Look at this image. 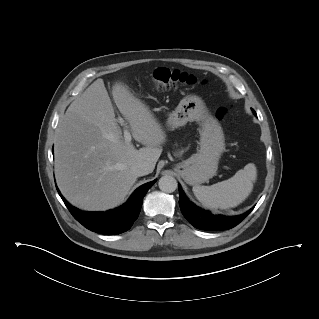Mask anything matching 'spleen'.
I'll use <instances>...</instances> for the list:
<instances>
[{"label": "spleen", "mask_w": 319, "mask_h": 319, "mask_svg": "<svg viewBox=\"0 0 319 319\" xmlns=\"http://www.w3.org/2000/svg\"><path fill=\"white\" fill-rule=\"evenodd\" d=\"M256 179V166L249 163L228 180L211 186L195 185L192 190L205 207L227 209L238 206L250 195Z\"/></svg>", "instance_id": "spleen-1"}]
</instances>
